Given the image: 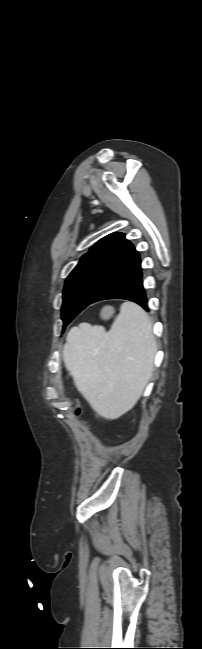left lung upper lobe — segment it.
I'll list each match as a JSON object with an SVG mask.
<instances>
[{"label": "left lung upper lobe", "mask_w": 202, "mask_h": 649, "mask_svg": "<svg viewBox=\"0 0 202 649\" xmlns=\"http://www.w3.org/2000/svg\"><path fill=\"white\" fill-rule=\"evenodd\" d=\"M133 248L123 233H112L90 248L68 276L63 291V329L88 306Z\"/></svg>", "instance_id": "5c2ea615"}]
</instances>
